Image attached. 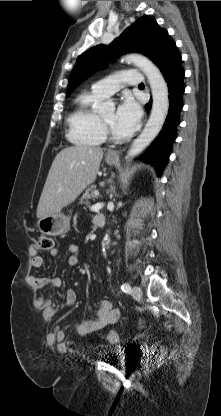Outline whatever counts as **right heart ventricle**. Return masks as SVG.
Masks as SVG:
<instances>
[{"label": "right heart ventricle", "instance_id": "obj_1", "mask_svg": "<svg viewBox=\"0 0 221 416\" xmlns=\"http://www.w3.org/2000/svg\"><path fill=\"white\" fill-rule=\"evenodd\" d=\"M102 97L93 91L81 93L68 117V138L78 145L97 146L105 141L98 113L94 105Z\"/></svg>", "mask_w": 221, "mask_h": 416}]
</instances>
